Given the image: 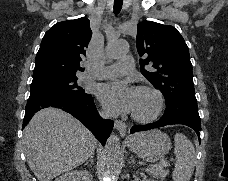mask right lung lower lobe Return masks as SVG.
<instances>
[{
	"mask_svg": "<svg viewBox=\"0 0 228 181\" xmlns=\"http://www.w3.org/2000/svg\"><path fill=\"white\" fill-rule=\"evenodd\" d=\"M46 107L60 108L80 120L105 145L113 129L112 120H103L96 109L92 98L77 101L57 95H39L29 97L23 127L28 124L34 113Z\"/></svg>",
	"mask_w": 228,
	"mask_h": 181,
	"instance_id": "right-lung-lower-lobe-1",
	"label": "right lung lower lobe"
}]
</instances>
